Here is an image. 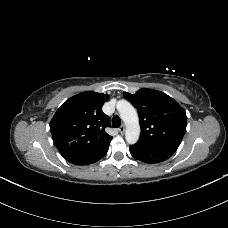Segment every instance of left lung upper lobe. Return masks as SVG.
I'll return each instance as SVG.
<instances>
[{
    "label": "left lung upper lobe",
    "instance_id": "obj_1",
    "mask_svg": "<svg viewBox=\"0 0 228 228\" xmlns=\"http://www.w3.org/2000/svg\"><path fill=\"white\" fill-rule=\"evenodd\" d=\"M123 95L138 111L141 135L136 144L175 152L186 131L185 110L158 90L142 88Z\"/></svg>",
    "mask_w": 228,
    "mask_h": 228
}]
</instances>
